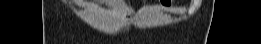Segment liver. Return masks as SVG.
<instances>
[{"label":"liver","instance_id":"obj_1","mask_svg":"<svg viewBox=\"0 0 261 44\" xmlns=\"http://www.w3.org/2000/svg\"><path fill=\"white\" fill-rule=\"evenodd\" d=\"M111 5H118V7L121 9L122 14H126L128 11L127 6L125 5L124 0H111L109 1Z\"/></svg>","mask_w":261,"mask_h":44}]
</instances>
